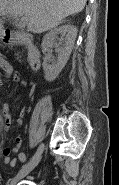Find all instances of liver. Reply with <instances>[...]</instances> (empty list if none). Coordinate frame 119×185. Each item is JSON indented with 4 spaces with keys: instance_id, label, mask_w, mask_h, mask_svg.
Wrapping results in <instances>:
<instances>
[{
    "instance_id": "obj_1",
    "label": "liver",
    "mask_w": 119,
    "mask_h": 185,
    "mask_svg": "<svg viewBox=\"0 0 119 185\" xmlns=\"http://www.w3.org/2000/svg\"><path fill=\"white\" fill-rule=\"evenodd\" d=\"M86 0H0V15L23 16L33 33L60 25L66 17L81 12ZM3 25L0 21V30Z\"/></svg>"
}]
</instances>
